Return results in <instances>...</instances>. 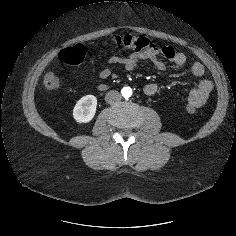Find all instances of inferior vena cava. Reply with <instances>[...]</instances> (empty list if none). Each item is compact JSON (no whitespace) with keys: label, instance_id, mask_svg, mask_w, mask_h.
Instances as JSON below:
<instances>
[{"label":"inferior vena cava","instance_id":"inferior-vena-cava-1","mask_svg":"<svg viewBox=\"0 0 236 236\" xmlns=\"http://www.w3.org/2000/svg\"><path fill=\"white\" fill-rule=\"evenodd\" d=\"M121 94L116 90H110L105 95V101L109 104L117 103L121 100Z\"/></svg>","mask_w":236,"mask_h":236}]
</instances>
